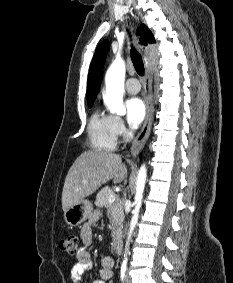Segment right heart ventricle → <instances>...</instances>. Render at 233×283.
<instances>
[{
  "label": "right heart ventricle",
  "instance_id": "1",
  "mask_svg": "<svg viewBox=\"0 0 233 283\" xmlns=\"http://www.w3.org/2000/svg\"><path fill=\"white\" fill-rule=\"evenodd\" d=\"M88 138L92 148L98 151H113L117 145L115 117L97 109L88 123Z\"/></svg>",
  "mask_w": 233,
  "mask_h": 283
}]
</instances>
